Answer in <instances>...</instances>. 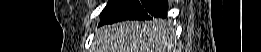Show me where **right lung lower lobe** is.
Masks as SVG:
<instances>
[{
  "mask_svg": "<svg viewBox=\"0 0 261 52\" xmlns=\"http://www.w3.org/2000/svg\"><path fill=\"white\" fill-rule=\"evenodd\" d=\"M167 0H110L102 11L101 25L121 20H150L167 16Z\"/></svg>",
  "mask_w": 261,
  "mask_h": 52,
  "instance_id": "obj_1",
  "label": "right lung lower lobe"
}]
</instances>
